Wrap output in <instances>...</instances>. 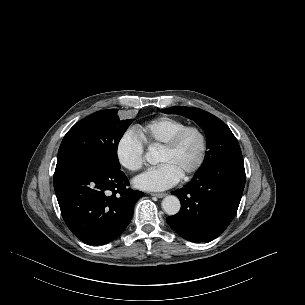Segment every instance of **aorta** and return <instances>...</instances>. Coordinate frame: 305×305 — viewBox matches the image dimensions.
<instances>
[{
    "label": "aorta",
    "instance_id": "762f6f07",
    "mask_svg": "<svg viewBox=\"0 0 305 305\" xmlns=\"http://www.w3.org/2000/svg\"><path fill=\"white\" fill-rule=\"evenodd\" d=\"M146 159L149 163H155V161H156L155 153L154 152L146 153ZM161 205H162V208L165 211V213L168 215L177 214L181 207L180 200L174 195L166 196L162 200Z\"/></svg>",
    "mask_w": 305,
    "mask_h": 305
}]
</instances>
